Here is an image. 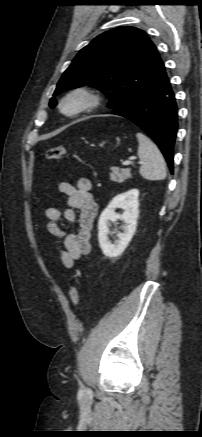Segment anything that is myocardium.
Instances as JSON below:
<instances>
[{"label":"myocardium","instance_id":"1","mask_svg":"<svg viewBox=\"0 0 202 437\" xmlns=\"http://www.w3.org/2000/svg\"><path fill=\"white\" fill-rule=\"evenodd\" d=\"M71 101H76L77 105L69 110L66 106ZM100 102L98 93L88 87L80 86L69 90L59 101L58 108L62 115L74 118L95 109Z\"/></svg>","mask_w":202,"mask_h":437}]
</instances>
